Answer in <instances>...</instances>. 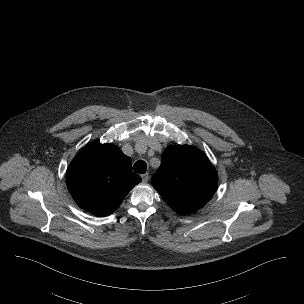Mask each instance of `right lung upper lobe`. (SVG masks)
<instances>
[{
    "label": "right lung upper lobe",
    "instance_id": "1",
    "mask_svg": "<svg viewBox=\"0 0 304 304\" xmlns=\"http://www.w3.org/2000/svg\"><path fill=\"white\" fill-rule=\"evenodd\" d=\"M131 166V158L115 145L91 142L67 169L69 192L81 208L96 216H108L141 181Z\"/></svg>",
    "mask_w": 304,
    "mask_h": 304
}]
</instances>
